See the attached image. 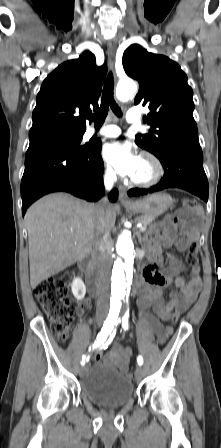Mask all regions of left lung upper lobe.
<instances>
[{
	"instance_id": "1",
	"label": "left lung upper lobe",
	"mask_w": 221,
	"mask_h": 448,
	"mask_svg": "<svg viewBox=\"0 0 221 448\" xmlns=\"http://www.w3.org/2000/svg\"><path fill=\"white\" fill-rule=\"evenodd\" d=\"M123 67L139 82L134 103L150 109L144 123L151 128L136 136V144L158 158L175 148H201L192 115L193 91L180 66L133 44L123 54Z\"/></svg>"
}]
</instances>
